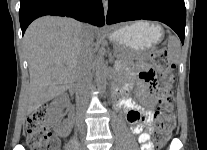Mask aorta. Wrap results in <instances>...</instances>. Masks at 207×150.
<instances>
[{
    "label": "aorta",
    "mask_w": 207,
    "mask_h": 150,
    "mask_svg": "<svg viewBox=\"0 0 207 150\" xmlns=\"http://www.w3.org/2000/svg\"><path fill=\"white\" fill-rule=\"evenodd\" d=\"M95 75H96V85L100 92H105L107 87V75H108V68L105 63L104 53L100 50L99 55L97 56L95 62Z\"/></svg>",
    "instance_id": "762f6f07"
}]
</instances>
